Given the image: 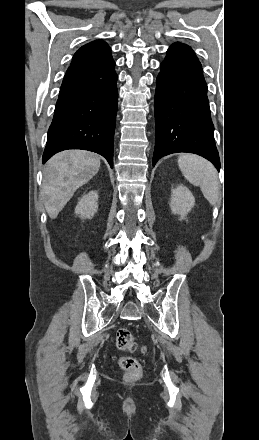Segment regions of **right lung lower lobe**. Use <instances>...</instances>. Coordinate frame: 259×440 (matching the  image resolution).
I'll use <instances>...</instances> for the list:
<instances>
[{"label": "right lung lower lobe", "instance_id": "obj_1", "mask_svg": "<svg viewBox=\"0 0 259 440\" xmlns=\"http://www.w3.org/2000/svg\"><path fill=\"white\" fill-rule=\"evenodd\" d=\"M111 55L71 65L62 82L42 162L67 149L102 155L113 168L118 91Z\"/></svg>", "mask_w": 259, "mask_h": 440}]
</instances>
